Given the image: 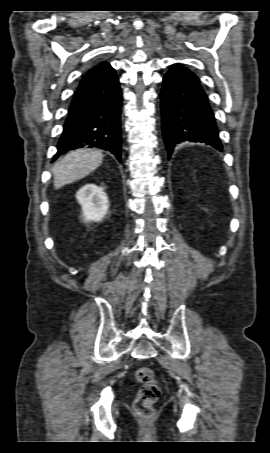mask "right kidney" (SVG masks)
<instances>
[{
	"label": "right kidney",
	"mask_w": 270,
	"mask_h": 453,
	"mask_svg": "<svg viewBox=\"0 0 270 453\" xmlns=\"http://www.w3.org/2000/svg\"><path fill=\"white\" fill-rule=\"evenodd\" d=\"M79 204L82 206L85 222H99L106 215L109 201L104 188L89 183L84 185L76 194Z\"/></svg>",
	"instance_id": "ca27d5eb"
}]
</instances>
